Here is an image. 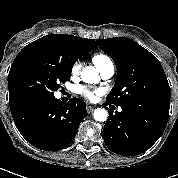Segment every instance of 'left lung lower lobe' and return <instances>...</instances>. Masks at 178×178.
Returning a JSON list of instances; mask_svg holds the SVG:
<instances>
[{
    "instance_id": "0a47b994",
    "label": "left lung lower lobe",
    "mask_w": 178,
    "mask_h": 178,
    "mask_svg": "<svg viewBox=\"0 0 178 178\" xmlns=\"http://www.w3.org/2000/svg\"><path fill=\"white\" fill-rule=\"evenodd\" d=\"M111 103H104L105 106ZM115 115L109 111L104 125L106 146L123 156L138 155L148 150L162 135L169 116L132 106H121Z\"/></svg>"
}]
</instances>
